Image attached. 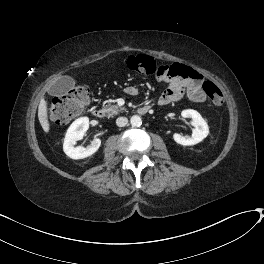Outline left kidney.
<instances>
[{
    "label": "left kidney",
    "instance_id": "5707ae66",
    "mask_svg": "<svg viewBox=\"0 0 264 264\" xmlns=\"http://www.w3.org/2000/svg\"><path fill=\"white\" fill-rule=\"evenodd\" d=\"M182 117L191 118L194 129L191 136H182L178 133L173 134L176 143L189 146L201 142L209 134V127L202 116L193 109H186L181 112Z\"/></svg>",
    "mask_w": 264,
    "mask_h": 264
}]
</instances>
